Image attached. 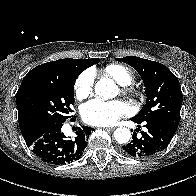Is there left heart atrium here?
I'll list each match as a JSON object with an SVG mask.
<instances>
[{
	"instance_id": "left-heart-atrium-1",
	"label": "left heart atrium",
	"mask_w": 196,
	"mask_h": 196,
	"mask_svg": "<svg viewBox=\"0 0 196 196\" xmlns=\"http://www.w3.org/2000/svg\"><path fill=\"white\" fill-rule=\"evenodd\" d=\"M129 112L130 107L122 101L94 99L82 106L81 117L84 122L90 125L109 126Z\"/></svg>"
}]
</instances>
